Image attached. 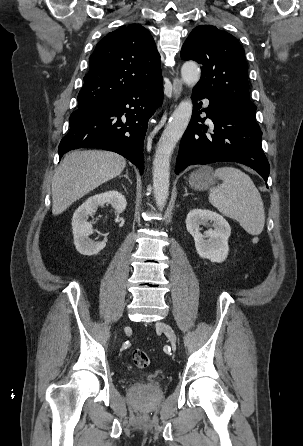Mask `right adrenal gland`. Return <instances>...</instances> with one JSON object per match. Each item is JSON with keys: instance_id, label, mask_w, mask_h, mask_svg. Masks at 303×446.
Returning a JSON list of instances; mask_svg holds the SVG:
<instances>
[{"instance_id": "1", "label": "right adrenal gland", "mask_w": 303, "mask_h": 446, "mask_svg": "<svg viewBox=\"0 0 303 446\" xmlns=\"http://www.w3.org/2000/svg\"><path fill=\"white\" fill-rule=\"evenodd\" d=\"M120 177H125L130 182V184H132V181L130 180V178L128 176V170H126V174L124 176H120Z\"/></svg>"}]
</instances>
